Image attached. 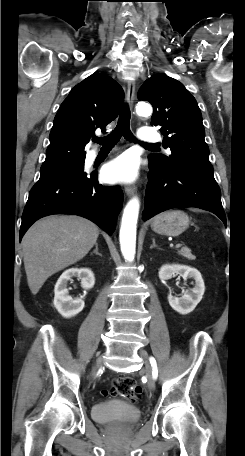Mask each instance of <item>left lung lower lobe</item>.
Returning a JSON list of instances; mask_svg holds the SVG:
<instances>
[{
    "instance_id": "0a47b994",
    "label": "left lung lower lobe",
    "mask_w": 245,
    "mask_h": 456,
    "mask_svg": "<svg viewBox=\"0 0 245 456\" xmlns=\"http://www.w3.org/2000/svg\"><path fill=\"white\" fill-rule=\"evenodd\" d=\"M149 169L144 220L176 207H197L213 212L226 224L221 192L213 171L177 164L161 167L153 161H150Z\"/></svg>"
}]
</instances>
